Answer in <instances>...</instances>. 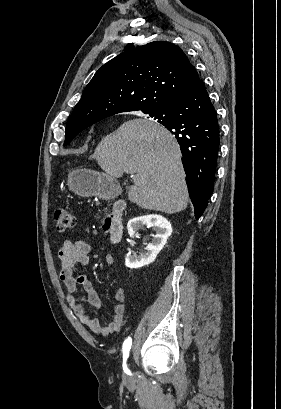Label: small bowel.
I'll list each match as a JSON object with an SVG mask.
<instances>
[{
  "instance_id": "obj_1",
  "label": "small bowel",
  "mask_w": 281,
  "mask_h": 409,
  "mask_svg": "<svg viewBox=\"0 0 281 409\" xmlns=\"http://www.w3.org/2000/svg\"><path fill=\"white\" fill-rule=\"evenodd\" d=\"M91 249V245L79 237L67 238L58 251V256L61 261L60 279L67 290L66 300L79 321L95 334L109 335L118 331L123 324L126 313V307L124 305L126 295L122 288H118L115 291V299L118 303L114 306L112 321L106 326H102L96 318L86 312L84 308L85 304L97 310L102 306L101 299L94 289L91 280L86 275H74V270L78 265L88 262ZM105 263L107 265H113V255L107 254L105 256ZM78 285L82 286L84 290V295L81 297L76 295Z\"/></svg>"
}]
</instances>
